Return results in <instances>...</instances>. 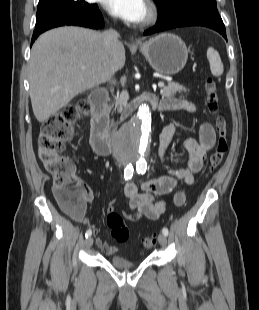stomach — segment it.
Here are the masks:
<instances>
[{"instance_id": "1", "label": "stomach", "mask_w": 259, "mask_h": 310, "mask_svg": "<svg viewBox=\"0 0 259 310\" xmlns=\"http://www.w3.org/2000/svg\"><path fill=\"white\" fill-rule=\"evenodd\" d=\"M140 50L150 66L164 75H175L186 65L188 50L176 35L160 34L140 45Z\"/></svg>"}]
</instances>
